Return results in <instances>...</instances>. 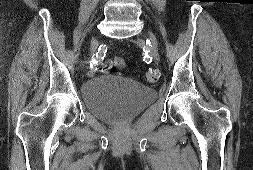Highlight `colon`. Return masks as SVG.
<instances>
[{
	"instance_id": "colon-1",
	"label": "colon",
	"mask_w": 253,
	"mask_h": 170,
	"mask_svg": "<svg viewBox=\"0 0 253 170\" xmlns=\"http://www.w3.org/2000/svg\"><path fill=\"white\" fill-rule=\"evenodd\" d=\"M102 69L109 70V69H111V67L108 65H102ZM144 77H145L146 81H148L150 83H154V82L158 81L160 75L157 70L150 69L145 72Z\"/></svg>"
}]
</instances>
